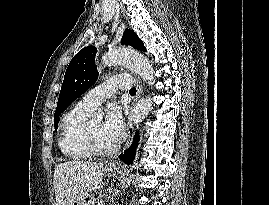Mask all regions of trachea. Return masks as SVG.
Instances as JSON below:
<instances>
[{"instance_id": "trachea-1", "label": "trachea", "mask_w": 269, "mask_h": 205, "mask_svg": "<svg viewBox=\"0 0 269 205\" xmlns=\"http://www.w3.org/2000/svg\"><path fill=\"white\" fill-rule=\"evenodd\" d=\"M129 93H130V94H133V95L136 94V88H134V87L131 88V89L129 90Z\"/></svg>"}]
</instances>
